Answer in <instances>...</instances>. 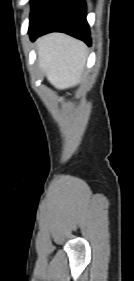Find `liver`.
<instances>
[{"label": "liver", "instance_id": "6515ba94", "mask_svg": "<svg viewBox=\"0 0 134 281\" xmlns=\"http://www.w3.org/2000/svg\"><path fill=\"white\" fill-rule=\"evenodd\" d=\"M39 67L57 89L78 84L84 73L86 45L68 35L51 33L37 40Z\"/></svg>", "mask_w": 134, "mask_h": 281}]
</instances>
